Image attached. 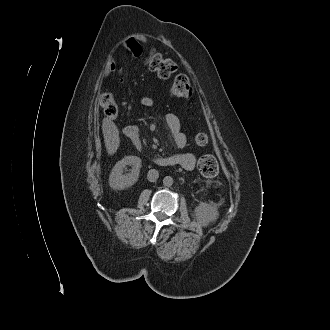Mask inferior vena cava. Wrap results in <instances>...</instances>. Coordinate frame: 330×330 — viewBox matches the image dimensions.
Here are the masks:
<instances>
[{"instance_id":"inferior-vena-cava-1","label":"inferior vena cava","mask_w":330,"mask_h":330,"mask_svg":"<svg viewBox=\"0 0 330 330\" xmlns=\"http://www.w3.org/2000/svg\"><path fill=\"white\" fill-rule=\"evenodd\" d=\"M159 177V172L155 169H151L149 170L148 174H147V179L150 182H155Z\"/></svg>"}]
</instances>
